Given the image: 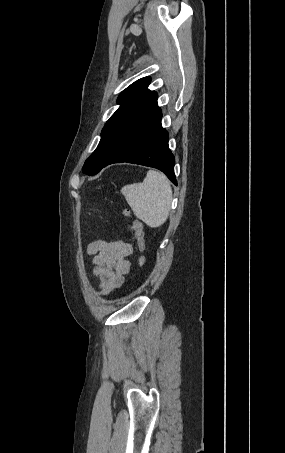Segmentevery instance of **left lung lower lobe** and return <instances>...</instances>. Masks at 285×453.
<instances>
[{"label":"left lung lower lobe","instance_id":"0a47b994","mask_svg":"<svg viewBox=\"0 0 285 453\" xmlns=\"http://www.w3.org/2000/svg\"><path fill=\"white\" fill-rule=\"evenodd\" d=\"M161 118L162 112L156 99L124 131L103 167L121 162L154 167L177 185L175 158L168 147L169 136L162 128Z\"/></svg>","mask_w":285,"mask_h":453}]
</instances>
